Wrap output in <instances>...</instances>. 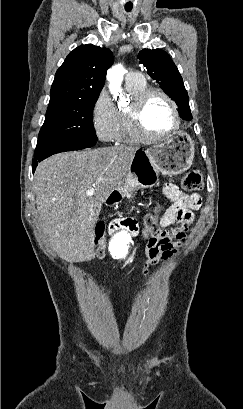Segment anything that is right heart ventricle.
Masks as SVG:
<instances>
[{"label":"right heart ventricle","instance_id":"e07e8e85","mask_svg":"<svg viewBox=\"0 0 243 409\" xmlns=\"http://www.w3.org/2000/svg\"><path fill=\"white\" fill-rule=\"evenodd\" d=\"M147 89V84L145 81L141 83H127L126 82V90L131 95L132 98H135L138 94L143 92ZM118 111V133L116 141L120 143H132L136 142L137 140L134 138L128 123V119L126 116V110L120 109Z\"/></svg>","mask_w":243,"mask_h":409}]
</instances>
